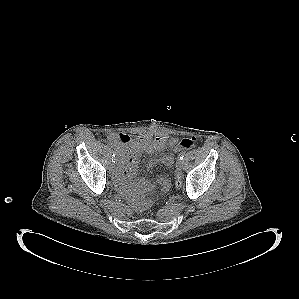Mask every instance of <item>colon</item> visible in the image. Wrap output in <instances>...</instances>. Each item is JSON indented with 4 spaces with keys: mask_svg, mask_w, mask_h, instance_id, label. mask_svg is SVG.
Instances as JSON below:
<instances>
[{
    "mask_svg": "<svg viewBox=\"0 0 299 299\" xmlns=\"http://www.w3.org/2000/svg\"><path fill=\"white\" fill-rule=\"evenodd\" d=\"M195 145V138H184L179 142L180 149H190ZM175 185L176 187H180L182 185V174L179 171V168L176 165L175 172Z\"/></svg>",
    "mask_w": 299,
    "mask_h": 299,
    "instance_id": "colon-1",
    "label": "colon"
}]
</instances>
